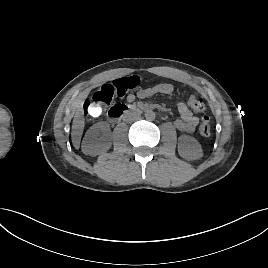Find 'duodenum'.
<instances>
[{"label":"duodenum","mask_w":268,"mask_h":268,"mask_svg":"<svg viewBox=\"0 0 268 268\" xmlns=\"http://www.w3.org/2000/svg\"><path fill=\"white\" fill-rule=\"evenodd\" d=\"M149 110L150 109L145 106L116 104L109 108L108 116L112 121H120L129 114H141Z\"/></svg>","instance_id":"410a0bca"}]
</instances>
